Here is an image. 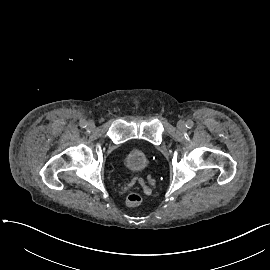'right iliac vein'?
<instances>
[{
  "instance_id": "right-iliac-vein-1",
  "label": "right iliac vein",
  "mask_w": 270,
  "mask_h": 270,
  "mask_svg": "<svg viewBox=\"0 0 270 270\" xmlns=\"http://www.w3.org/2000/svg\"><path fill=\"white\" fill-rule=\"evenodd\" d=\"M87 128H88L89 130H93V129L95 128L94 122H92V121L88 122Z\"/></svg>"
}]
</instances>
